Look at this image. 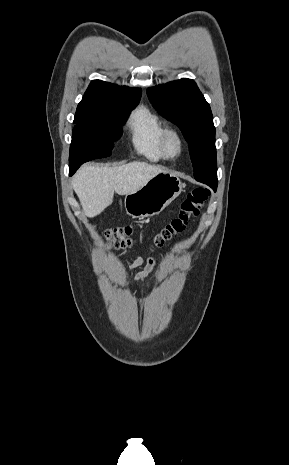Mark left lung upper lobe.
<instances>
[{
	"label": "left lung upper lobe",
	"mask_w": 289,
	"mask_h": 465,
	"mask_svg": "<svg viewBox=\"0 0 289 465\" xmlns=\"http://www.w3.org/2000/svg\"><path fill=\"white\" fill-rule=\"evenodd\" d=\"M147 93L154 108L182 131L195 179L216 189L215 127L210 106L196 83L184 78L148 88Z\"/></svg>",
	"instance_id": "obj_1"
}]
</instances>
